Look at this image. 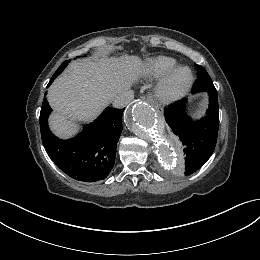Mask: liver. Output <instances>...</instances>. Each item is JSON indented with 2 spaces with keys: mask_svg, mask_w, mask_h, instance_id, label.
Instances as JSON below:
<instances>
[{
  "mask_svg": "<svg viewBox=\"0 0 260 260\" xmlns=\"http://www.w3.org/2000/svg\"><path fill=\"white\" fill-rule=\"evenodd\" d=\"M145 71L138 56L76 60L48 90L54 113L51 130L60 138L78 131L76 121L94 120L119 92L128 89Z\"/></svg>",
  "mask_w": 260,
  "mask_h": 260,
  "instance_id": "obj_1",
  "label": "liver"
}]
</instances>
